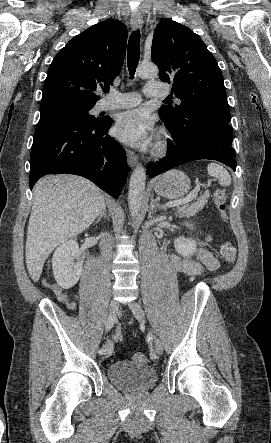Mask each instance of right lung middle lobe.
Instances as JSON below:
<instances>
[{
	"label": "right lung middle lobe",
	"mask_w": 271,
	"mask_h": 443,
	"mask_svg": "<svg viewBox=\"0 0 271 443\" xmlns=\"http://www.w3.org/2000/svg\"><path fill=\"white\" fill-rule=\"evenodd\" d=\"M95 103L81 102L73 99H59L41 103L40 120L54 116H71L89 124L100 122L101 118H95L89 114Z\"/></svg>",
	"instance_id": "dd1d6c3e"
}]
</instances>
